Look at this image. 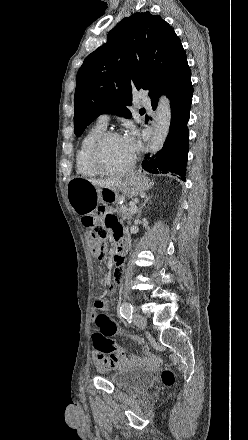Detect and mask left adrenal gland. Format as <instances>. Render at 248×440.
Here are the masks:
<instances>
[{"label":"left adrenal gland","mask_w":248,"mask_h":440,"mask_svg":"<svg viewBox=\"0 0 248 440\" xmlns=\"http://www.w3.org/2000/svg\"><path fill=\"white\" fill-rule=\"evenodd\" d=\"M150 199H151V197H146L144 203H143V204L141 205V207L139 208L137 218H140V216H141V214H142V209H143V207H145V205L148 203V201H149Z\"/></svg>","instance_id":"obj_1"}]
</instances>
